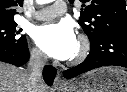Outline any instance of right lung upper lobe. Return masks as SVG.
<instances>
[{
  "label": "right lung upper lobe",
  "instance_id": "right-lung-upper-lobe-1",
  "mask_svg": "<svg viewBox=\"0 0 127 92\" xmlns=\"http://www.w3.org/2000/svg\"><path fill=\"white\" fill-rule=\"evenodd\" d=\"M23 6V0H0V24L13 23L17 13L14 7Z\"/></svg>",
  "mask_w": 127,
  "mask_h": 92
}]
</instances>
